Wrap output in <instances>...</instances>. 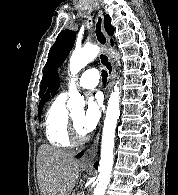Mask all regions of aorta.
I'll return each instance as SVG.
<instances>
[{
	"instance_id": "aorta-1",
	"label": "aorta",
	"mask_w": 178,
	"mask_h": 195,
	"mask_svg": "<svg viewBox=\"0 0 178 195\" xmlns=\"http://www.w3.org/2000/svg\"><path fill=\"white\" fill-rule=\"evenodd\" d=\"M100 51L97 45H86L83 48L72 53L69 62V70L72 78L69 84V100L67 107L74 110L79 106L84 105V100L79 94L76 84L75 75L84 68L88 63L95 59ZM120 88L118 83L114 86L106 111L104 126L101 139V159L99 163L98 184L94 190V195H104L109 184L114 158V140L117 119L120 115Z\"/></svg>"
}]
</instances>
